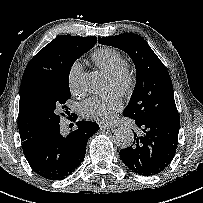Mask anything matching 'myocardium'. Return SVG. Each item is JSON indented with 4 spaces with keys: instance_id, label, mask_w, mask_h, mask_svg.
I'll list each match as a JSON object with an SVG mask.
<instances>
[{
    "instance_id": "myocardium-1",
    "label": "myocardium",
    "mask_w": 203,
    "mask_h": 203,
    "mask_svg": "<svg viewBox=\"0 0 203 203\" xmlns=\"http://www.w3.org/2000/svg\"><path fill=\"white\" fill-rule=\"evenodd\" d=\"M108 75L111 79L122 80L121 89L124 92L128 91L133 85L134 82L133 72L131 67L127 63L117 67Z\"/></svg>"
}]
</instances>
